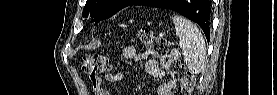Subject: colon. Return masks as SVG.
<instances>
[{
  "label": "colon",
  "mask_w": 277,
  "mask_h": 95,
  "mask_svg": "<svg viewBox=\"0 0 277 95\" xmlns=\"http://www.w3.org/2000/svg\"><path fill=\"white\" fill-rule=\"evenodd\" d=\"M138 37L146 51L158 58L163 63L165 70L180 81V86L175 94L191 95L196 84V77L183 63L170 55L166 40L154 36L150 30L145 28L139 30ZM109 68L110 61L105 55L93 54L84 59L83 71L90 78L99 76Z\"/></svg>",
  "instance_id": "1"
}]
</instances>
